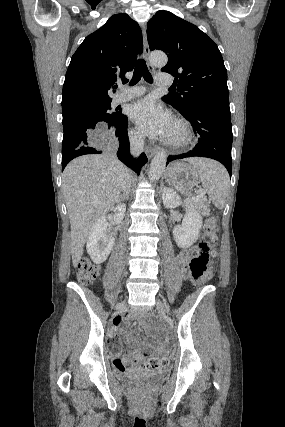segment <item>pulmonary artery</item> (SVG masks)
<instances>
[{"label":"pulmonary artery","instance_id":"e3ab8cb5","mask_svg":"<svg viewBox=\"0 0 285 427\" xmlns=\"http://www.w3.org/2000/svg\"><path fill=\"white\" fill-rule=\"evenodd\" d=\"M173 83V79L169 74H158L156 76V84L160 86H169ZM144 87H135L132 89H123L114 99L116 104L132 100L144 94Z\"/></svg>","mask_w":285,"mask_h":427}]
</instances>
